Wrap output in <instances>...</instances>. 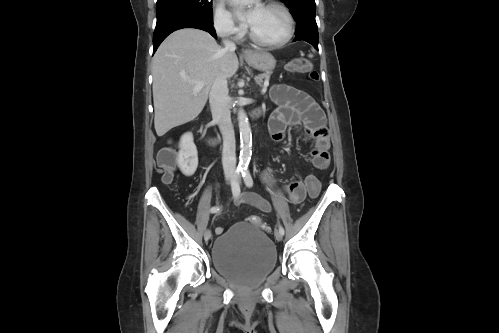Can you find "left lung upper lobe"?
<instances>
[{"instance_id":"obj_1","label":"left lung upper lobe","mask_w":499,"mask_h":333,"mask_svg":"<svg viewBox=\"0 0 499 333\" xmlns=\"http://www.w3.org/2000/svg\"><path fill=\"white\" fill-rule=\"evenodd\" d=\"M291 10L295 21L315 19V0H282Z\"/></svg>"}]
</instances>
